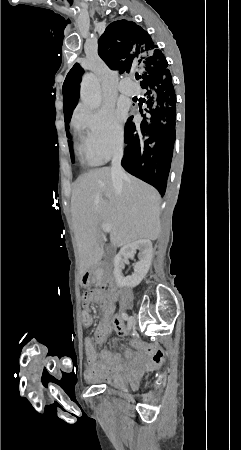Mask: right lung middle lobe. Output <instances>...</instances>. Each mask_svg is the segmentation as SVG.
<instances>
[{"label": "right lung middle lobe", "mask_w": 241, "mask_h": 450, "mask_svg": "<svg viewBox=\"0 0 241 450\" xmlns=\"http://www.w3.org/2000/svg\"><path fill=\"white\" fill-rule=\"evenodd\" d=\"M80 82H81V75L68 74L66 76V79L64 81L63 88H62L63 102H64V107H63L64 117L67 116V114H71L73 109L75 108V106L78 103ZM67 136L70 137L69 133H67ZM69 146H70L71 160H72V162H74L73 150H72L71 143L69 144Z\"/></svg>", "instance_id": "right-lung-middle-lobe-1"}]
</instances>
